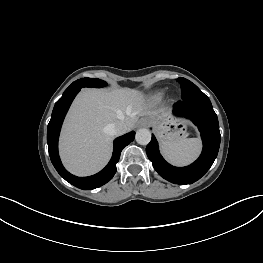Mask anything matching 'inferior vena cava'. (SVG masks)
Masks as SVG:
<instances>
[{"label":"inferior vena cava","instance_id":"1","mask_svg":"<svg viewBox=\"0 0 263 263\" xmlns=\"http://www.w3.org/2000/svg\"><path fill=\"white\" fill-rule=\"evenodd\" d=\"M107 132L111 135H122L127 131V125L123 121L108 124L106 126Z\"/></svg>","mask_w":263,"mask_h":263}]
</instances>
